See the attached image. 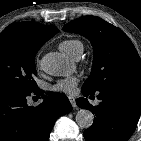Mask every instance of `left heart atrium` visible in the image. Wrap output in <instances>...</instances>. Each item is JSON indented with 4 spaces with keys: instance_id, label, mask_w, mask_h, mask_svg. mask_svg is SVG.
I'll use <instances>...</instances> for the list:
<instances>
[{
    "instance_id": "obj_1",
    "label": "left heart atrium",
    "mask_w": 141,
    "mask_h": 141,
    "mask_svg": "<svg viewBox=\"0 0 141 141\" xmlns=\"http://www.w3.org/2000/svg\"><path fill=\"white\" fill-rule=\"evenodd\" d=\"M77 83H78V78L75 76H71V77L58 81L53 86V90L56 92H62L65 94H73Z\"/></svg>"
}]
</instances>
